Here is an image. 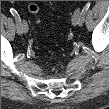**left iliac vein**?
I'll list each match as a JSON object with an SVG mask.
<instances>
[{"label":"left iliac vein","mask_w":109,"mask_h":109,"mask_svg":"<svg viewBox=\"0 0 109 109\" xmlns=\"http://www.w3.org/2000/svg\"><path fill=\"white\" fill-rule=\"evenodd\" d=\"M80 16H81V10L78 8V9L75 10V12L72 16V25L73 26H77V25L81 26Z\"/></svg>","instance_id":"1"}]
</instances>
